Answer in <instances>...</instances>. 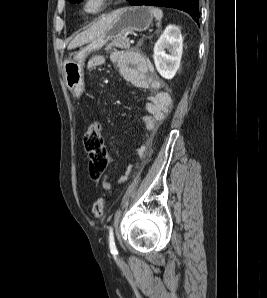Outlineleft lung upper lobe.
Here are the masks:
<instances>
[{
    "label": "left lung upper lobe",
    "instance_id": "left-lung-upper-lobe-1",
    "mask_svg": "<svg viewBox=\"0 0 267 298\" xmlns=\"http://www.w3.org/2000/svg\"><path fill=\"white\" fill-rule=\"evenodd\" d=\"M82 0H70V2L76 3V2H81Z\"/></svg>",
    "mask_w": 267,
    "mask_h": 298
}]
</instances>
